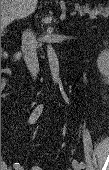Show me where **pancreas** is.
Instances as JSON below:
<instances>
[{"label": "pancreas", "instance_id": "cf45deb5", "mask_svg": "<svg viewBox=\"0 0 109 170\" xmlns=\"http://www.w3.org/2000/svg\"><path fill=\"white\" fill-rule=\"evenodd\" d=\"M75 9L79 12L81 16L88 14L91 19L108 16V9L103 7L91 9L88 6L80 7L79 5H76Z\"/></svg>", "mask_w": 109, "mask_h": 170}]
</instances>
